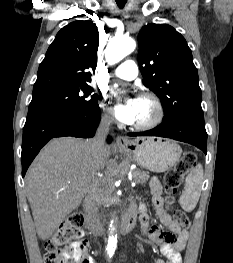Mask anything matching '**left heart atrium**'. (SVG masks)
I'll list each match as a JSON object with an SVG mask.
<instances>
[{"label":"left heart atrium","mask_w":233,"mask_h":263,"mask_svg":"<svg viewBox=\"0 0 233 263\" xmlns=\"http://www.w3.org/2000/svg\"><path fill=\"white\" fill-rule=\"evenodd\" d=\"M116 98L113 112L118 120L125 124H135L139 111L140 98L135 96L120 97L119 92L115 91Z\"/></svg>","instance_id":"left-heart-atrium-1"}]
</instances>
